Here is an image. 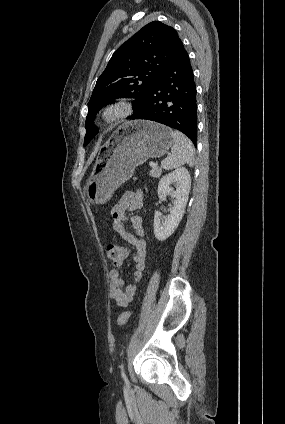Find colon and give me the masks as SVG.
I'll return each mask as SVG.
<instances>
[{
    "label": "colon",
    "instance_id": "1",
    "mask_svg": "<svg viewBox=\"0 0 285 424\" xmlns=\"http://www.w3.org/2000/svg\"><path fill=\"white\" fill-rule=\"evenodd\" d=\"M105 254L107 259L116 265L121 264L126 257V251L124 247L114 244H110L105 248ZM129 317V311L122 312L118 317V324L121 326L126 325L129 320Z\"/></svg>",
    "mask_w": 285,
    "mask_h": 424
}]
</instances>
